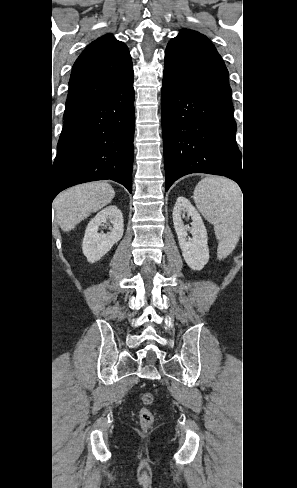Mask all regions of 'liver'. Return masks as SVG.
<instances>
[{
  "mask_svg": "<svg viewBox=\"0 0 297 488\" xmlns=\"http://www.w3.org/2000/svg\"><path fill=\"white\" fill-rule=\"evenodd\" d=\"M114 189L106 182H90L74 186L59 194L53 202L60 228L69 232L92 212L112 201Z\"/></svg>",
  "mask_w": 297,
  "mask_h": 488,
  "instance_id": "liver-1",
  "label": "liver"
}]
</instances>
